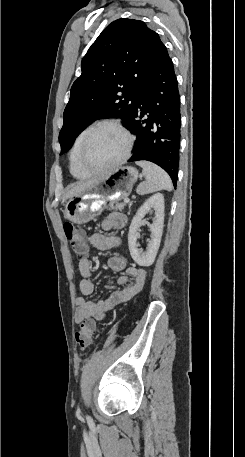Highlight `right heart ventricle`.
<instances>
[{"label": "right heart ventricle", "mask_w": 245, "mask_h": 457, "mask_svg": "<svg viewBox=\"0 0 245 457\" xmlns=\"http://www.w3.org/2000/svg\"><path fill=\"white\" fill-rule=\"evenodd\" d=\"M93 127V125H90L83 129L78 136L76 137L73 147L70 152V172L71 174L78 180H85L88 178V175L83 172V170L79 167L78 162H77V152L83 142V139L87 132Z\"/></svg>", "instance_id": "e07e8e85"}]
</instances>
